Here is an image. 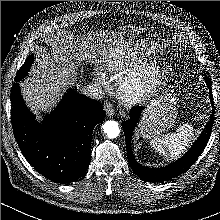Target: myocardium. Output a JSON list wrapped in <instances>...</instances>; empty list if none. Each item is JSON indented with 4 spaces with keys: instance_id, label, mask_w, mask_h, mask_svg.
I'll use <instances>...</instances> for the list:
<instances>
[{
    "instance_id": "obj_1",
    "label": "myocardium",
    "mask_w": 220,
    "mask_h": 220,
    "mask_svg": "<svg viewBox=\"0 0 220 220\" xmlns=\"http://www.w3.org/2000/svg\"><path fill=\"white\" fill-rule=\"evenodd\" d=\"M162 72L163 65L159 60L149 61L121 81L120 92L122 96L132 104L146 100L159 85Z\"/></svg>"
}]
</instances>
